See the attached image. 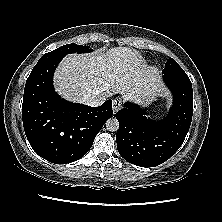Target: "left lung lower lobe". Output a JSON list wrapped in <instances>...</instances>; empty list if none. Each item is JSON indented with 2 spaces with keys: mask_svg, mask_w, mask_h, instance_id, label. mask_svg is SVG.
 Segmentation results:
<instances>
[{
  "mask_svg": "<svg viewBox=\"0 0 222 222\" xmlns=\"http://www.w3.org/2000/svg\"><path fill=\"white\" fill-rule=\"evenodd\" d=\"M163 80L173 94V105L164 119L153 121L129 102L116 113L118 152L137 166L154 167L168 160L182 145L191 124L193 90L187 74H164Z\"/></svg>",
  "mask_w": 222,
  "mask_h": 222,
  "instance_id": "0a47b994",
  "label": "left lung lower lobe"
}]
</instances>
